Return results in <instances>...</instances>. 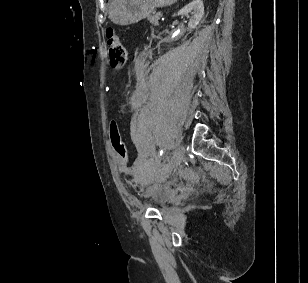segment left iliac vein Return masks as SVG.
Instances as JSON below:
<instances>
[{
	"mask_svg": "<svg viewBox=\"0 0 308 283\" xmlns=\"http://www.w3.org/2000/svg\"><path fill=\"white\" fill-rule=\"evenodd\" d=\"M186 152V148L183 144L179 145L177 149L174 151L169 169H174L184 158Z\"/></svg>",
	"mask_w": 308,
	"mask_h": 283,
	"instance_id": "obj_1",
	"label": "left iliac vein"
}]
</instances>
